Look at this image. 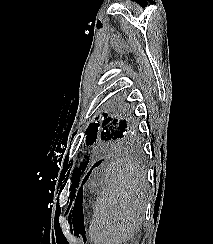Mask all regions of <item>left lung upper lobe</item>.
<instances>
[{
	"label": "left lung upper lobe",
	"mask_w": 213,
	"mask_h": 244,
	"mask_svg": "<svg viewBox=\"0 0 213 244\" xmlns=\"http://www.w3.org/2000/svg\"><path fill=\"white\" fill-rule=\"evenodd\" d=\"M131 107L121 104L114 105L110 110L99 114L98 121L91 123L86 130V144L92 145L99 136L102 140H115L123 138L134 132L136 121L131 114ZM89 156L80 159L79 168L73 171L71 177V190L78 188L81 175L88 165Z\"/></svg>",
	"instance_id": "5c2ea615"
}]
</instances>
